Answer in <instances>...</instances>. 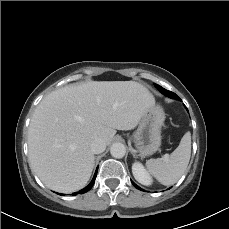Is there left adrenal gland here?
Here are the masks:
<instances>
[{
    "label": "left adrenal gland",
    "instance_id": "left-adrenal-gland-1",
    "mask_svg": "<svg viewBox=\"0 0 229 229\" xmlns=\"http://www.w3.org/2000/svg\"><path fill=\"white\" fill-rule=\"evenodd\" d=\"M132 155H133V157H134V158H136V155H135V153H133V152H132Z\"/></svg>",
    "mask_w": 229,
    "mask_h": 229
}]
</instances>
